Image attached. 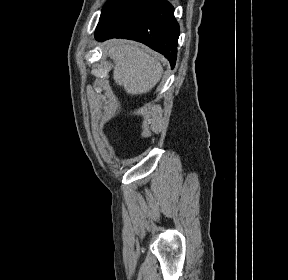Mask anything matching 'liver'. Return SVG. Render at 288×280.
Listing matches in <instances>:
<instances>
[{
    "mask_svg": "<svg viewBox=\"0 0 288 280\" xmlns=\"http://www.w3.org/2000/svg\"><path fill=\"white\" fill-rule=\"evenodd\" d=\"M109 57L114 61L113 78L132 95L149 92L160 81L163 68L156 57L136 43L120 41L111 47Z\"/></svg>",
    "mask_w": 288,
    "mask_h": 280,
    "instance_id": "1",
    "label": "liver"
}]
</instances>
